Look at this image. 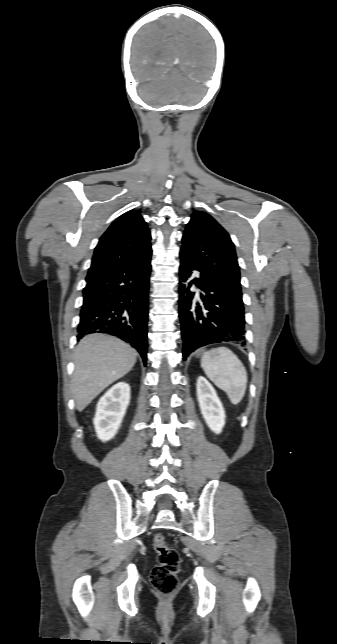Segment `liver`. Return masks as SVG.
I'll return each instance as SVG.
<instances>
[{"instance_id":"obj_1","label":"liver","mask_w":337,"mask_h":644,"mask_svg":"<svg viewBox=\"0 0 337 644\" xmlns=\"http://www.w3.org/2000/svg\"><path fill=\"white\" fill-rule=\"evenodd\" d=\"M137 352L112 336H85L74 353L72 396L83 411L106 387L126 375L136 362Z\"/></svg>"}]
</instances>
